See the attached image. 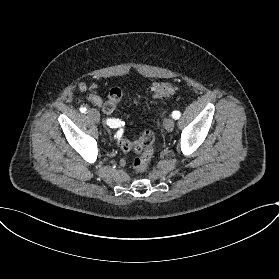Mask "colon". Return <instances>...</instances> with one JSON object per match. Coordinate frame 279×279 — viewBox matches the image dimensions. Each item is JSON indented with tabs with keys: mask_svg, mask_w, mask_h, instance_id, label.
<instances>
[{
	"mask_svg": "<svg viewBox=\"0 0 279 279\" xmlns=\"http://www.w3.org/2000/svg\"><path fill=\"white\" fill-rule=\"evenodd\" d=\"M178 88L173 82H158L155 83L150 89V94L153 104L158 103L159 100H165L177 92ZM123 92L120 88H112L109 90L106 101L103 105V111L105 114H112L119 102L122 101ZM154 134L151 131H145L138 139L131 140L123 137L119 141V148L128 153L134 150L139 153L137 157L133 159L132 168L137 173H144L147 171L149 164L154 155Z\"/></svg>",
	"mask_w": 279,
	"mask_h": 279,
	"instance_id": "obj_1",
	"label": "colon"
}]
</instances>
